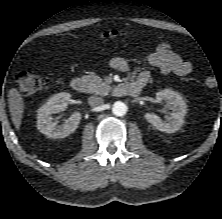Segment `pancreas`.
Masks as SVG:
<instances>
[{
    "label": "pancreas",
    "instance_id": "cf45deb5",
    "mask_svg": "<svg viewBox=\"0 0 222 219\" xmlns=\"http://www.w3.org/2000/svg\"><path fill=\"white\" fill-rule=\"evenodd\" d=\"M87 82V92L97 95H107L111 87L97 75L83 77Z\"/></svg>",
    "mask_w": 222,
    "mask_h": 219
}]
</instances>
